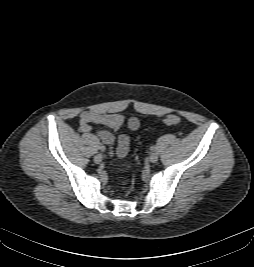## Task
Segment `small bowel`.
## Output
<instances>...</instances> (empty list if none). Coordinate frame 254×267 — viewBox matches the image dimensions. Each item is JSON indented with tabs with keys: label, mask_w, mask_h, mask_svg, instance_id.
Returning a JSON list of instances; mask_svg holds the SVG:
<instances>
[{
	"label": "small bowel",
	"mask_w": 254,
	"mask_h": 267,
	"mask_svg": "<svg viewBox=\"0 0 254 267\" xmlns=\"http://www.w3.org/2000/svg\"><path fill=\"white\" fill-rule=\"evenodd\" d=\"M125 123V117L119 113H97L93 111H84L79 115V129L83 133L91 131V124H101L114 130L120 129ZM126 126L130 131H136L140 127V121L136 117L127 120ZM100 140L109 147L110 154L117 157L127 155L130 146V137L128 134H121L118 137V143L114 148L115 137L107 130L98 131Z\"/></svg>",
	"instance_id": "1"
}]
</instances>
